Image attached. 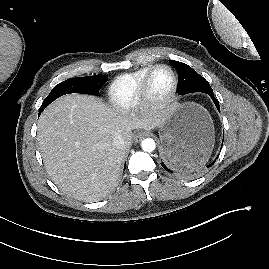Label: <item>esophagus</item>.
I'll return each mask as SVG.
<instances>
[{"label": "esophagus", "instance_id": "obj_1", "mask_svg": "<svg viewBox=\"0 0 269 269\" xmlns=\"http://www.w3.org/2000/svg\"><path fill=\"white\" fill-rule=\"evenodd\" d=\"M146 136V134L144 132H138L135 134L134 136V141L135 142H139L141 141L144 137Z\"/></svg>", "mask_w": 269, "mask_h": 269}]
</instances>
